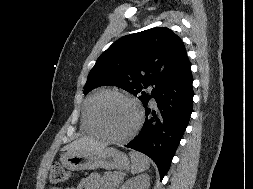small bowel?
Segmentation results:
<instances>
[{
    "label": "small bowel",
    "mask_w": 253,
    "mask_h": 189,
    "mask_svg": "<svg viewBox=\"0 0 253 189\" xmlns=\"http://www.w3.org/2000/svg\"><path fill=\"white\" fill-rule=\"evenodd\" d=\"M104 184L99 175L93 174L81 180L76 187H67L65 189H104ZM52 189H61L58 187Z\"/></svg>",
    "instance_id": "small-bowel-1"
}]
</instances>
